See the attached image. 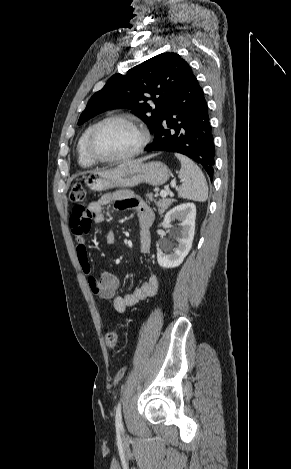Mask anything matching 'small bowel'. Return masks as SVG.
<instances>
[{"instance_id":"obj_1","label":"small bowel","mask_w":291,"mask_h":469,"mask_svg":"<svg viewBox=\"0 0 291 469\" xmlns=\"http://www.w3.org/2000/svg\"><path fill=\"white\" fill-rule=\"evenodd\" d=\"M111 203H115L119 209L135 210L140 228V250L142 254H147L151 245L150 228L154 221V213L143 200L130 191L121 190L108 193L91 202L87 209L75 208L70 216V228L77 242V258L82 271L87 276L90 290L101 299L111 300L117 313H124L128 307L154 296L157 293L159 282L158 278L151 274L132 292L117 295L120 287L117 275L110 271L102 272L99 278L92 275L85 234L91 231L93 224L105 222L104 209ZM114 242L115 233L113 230H109L105 237V243L112 245Z\"/></svg>"}]
</instances>
